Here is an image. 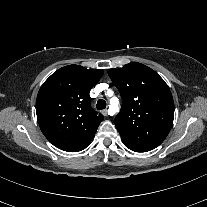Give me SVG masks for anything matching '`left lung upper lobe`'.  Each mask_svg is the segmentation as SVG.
Masks as SVG:
<instances>
[{
	"label": "left lung upper lobe",
	"instance_id": "5c2ea615",
	"mask_svg": "<svg viewBox=\"0 0 207 207\" xmlns=\"http://www.w3.org/2000/svg\"><path fill=\"white\" fill-rule=\"evenodd\" d=\"M108 74L122 97L115 126L122 139L157 147L168 135L174 118L169 87L151 68L136 62Z\"/></svg>",
	"mask_w": 207,
	"mask_h": 207
}]
</instances>
